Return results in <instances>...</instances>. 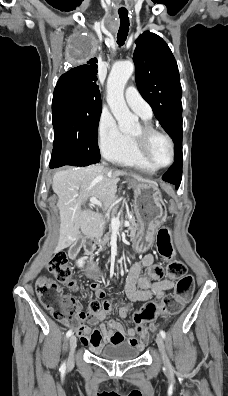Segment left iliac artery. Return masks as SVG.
I'll return each mask as SVG.
<instances>
[{"label": "left iliac artery", "instance_id": "1", "mask_svg": "<svg viewBox=\"0 0 228 396\" xmlns=\"http://www.w3.org/2000/svg\"><path fill=\"white\" fill-rule=\"evenodd\" d=\"M160 335L162 336V338H164V339H165V337H166V333H165V331H163V330H160Z\"/></svg>", "mask_w": 228, "mask_h": 396}]
</instances>
